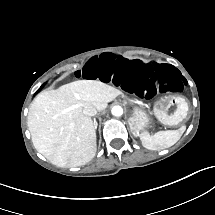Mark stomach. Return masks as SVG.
Listing matches in <instances>:
<instances>
[{"label":"stomach","instance_id":"1","mask_svg":"<svg viewBox=\"0 0 215 215\" xmlns=\"http://www.w3.org/2000/svg\"><path fill=\"white\" fill-rule=\"evenodd\" d=\"M151 115L165 126H182L187 121L188 103L182 96L168 94L155 101L152 112H148L144 105H134L129 118L134 135L142 134L153 125Z\"/></svg>","mask_w":215,"mask_h":215}]
</instances>
